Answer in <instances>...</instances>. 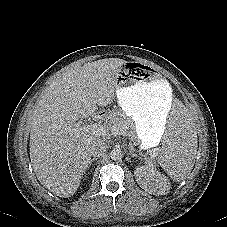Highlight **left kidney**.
<instances>
[{
  "label": "left kidney",
  "instance_id": "5707ae66",
  "mask_svg": "<svg viewBox=\"0 0 227 227\" xmlns=\"http://www.w3.org/2000/svg\"><path fill=\"white\" fill-rule=\"evenodd\" d=\"M137 183L146 192L153 195H163L169 192L170 183L166 176L160 172L157 174H149L142 167L136 168L134 171Z\"/></svg>",
  "mask_w": 227,
  "mask_h": 227
}]
</instances>
